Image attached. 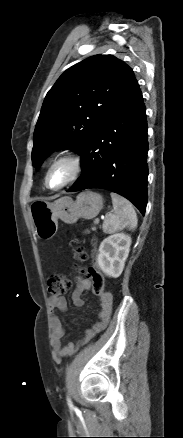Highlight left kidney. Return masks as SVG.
Wrapping results in <instances>:
<instances>
[{
	"instance_id": "obj_1",
	"label": "left kidney",
	"mask_w": 183,
	"mask_h": 438,
	"mask_svg": "<svg viewBox=\"0 0 183 438\" xmlns=\"http://www.w3.org/2000/svg\"><path fill=\"white\" fill-rule=\"evenodd\" d=\"M131 237L125 233H116L105 238L99 247L97 263L109 277L121 275L128 257Z\"/></svg>"
}]
</instances>
